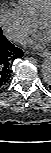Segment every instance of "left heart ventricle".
Listing matches in <instances>:
<instances>
[{
	"label": "left heart ventricle",
	"instance_id": "b2bd125f",
	"mask_svg": "<svg viewBox=\"0 0 51 153\" xmlns=\"http://www.w3.org/2000/svg\"><path fill=\"white\" fill-rule=\"evenodd\" d=\"M43 30L46 34L51 35V20H46L43 24Z\"/></svg>",
	"mask_w": 51,
	"mask_h": 153
}]
</instances>
